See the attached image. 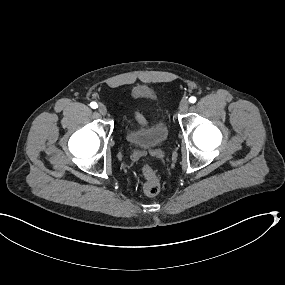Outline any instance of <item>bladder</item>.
<instances>
[{"label": "bladder", "instance_id": "31cf9c89", "mask_svg": "<svg viewBox=\"0 0 285 285\" xmlns=\"http://www.w3.org/2000/svg\"><path fill=\"white\" fill-rule=\"evenodd\" d=\"M127 131L123 138L131 145L141 148H157L170 136V128L165 123L160 106L152 112V122L147 126L138 127L126 122Z\"/></svg>", "mask_w": 285, "mask_h": 285}]
</instances>
